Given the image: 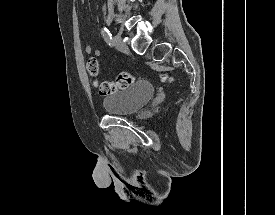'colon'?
Here are the masks:
<instances>
[{"label": "colon", "instance_id": "5ec220e1", "mask_svg": "<svg viewBox=\"0 0 275 215\" xmlns=\"http://www.w3.org/2000/svg\"><path fill=\"white\" fill-rule=\"evenodd\" d=\"M87 70L92 76H96L99 72V65L95 58H91L87 62ZM162 81L171 82L172 78L168 74L161 75ZM135 74L132 71H121L113 81L95 82L99 94L103 97L110 93L124 90L135 82Z\"/></svg>", "mask_w": 275, "mask_h": 215}]
</instances>
